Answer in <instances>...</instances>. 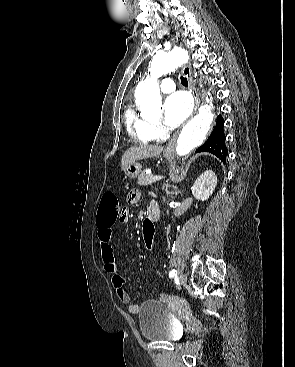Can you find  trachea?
<instances>
[{
  "mask_svg": "<svg viewBox=\"0 0 295 367\" xmlns=\"http://www.w3.org/2000/svg\"><path fill=\"white\" fill-rule=\"evenodd\" d=\"M181 83H182V85H184V86H188L187 78H185V77H181Z\"/></svg>",
  "mask_w": 295,
  "mask_h": 367,
  "instance_id": "obj_1",
  "label": "trachea"
}]
</instances>
